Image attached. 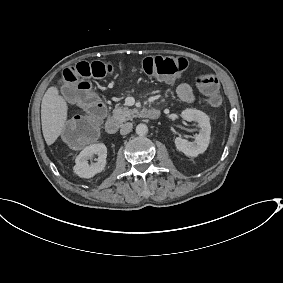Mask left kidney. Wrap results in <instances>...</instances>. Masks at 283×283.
Returning a JSON list of instances; mask_svg holds the SVG:
<instances>
[{"instance_id":"1","label":"left kidney","mask_w":283,"mask_h":283,"mask_svg":"<svg viewBox=\"0 0 283 283\" xmlns=\"http://www.w3.org/2000/svg\"><path fill=\"white\" fill-rule=\"evenodd\" d=\"M181 117L186 121H196L200 127L199 134L195 135V141L189 142L186 139L177 137L175 139L176 148L186 156L196 157L204 153L209 145L211 125L209 117L202 111L196 109H185Z\"/></svg>"}]
</instances>
